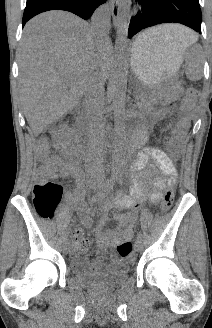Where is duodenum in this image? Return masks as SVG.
<instances>
[{"label":"duodenum","instance_id":"obj_1","mask_svg":"<svg viewBox=\"0 0 212 328\" xmlns=\"http://www.w3.org/2000/svg\"><path fill=\"white\" fill-rule=\"evenodd\" d=\"M143 137H144V133L140 131V132L136 133L133 138H134L135 142H140L143 139ZM74 142H75L76 150L79 151V149H80V138L76 137Z\"/></svg>","mask_w":212,"mask_h":328}]
</instances>
